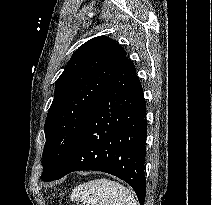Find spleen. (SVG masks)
<instances>
[{"label": "spleen", "mask_w": 212, "mask_h": 205, "mask_svg": "<svg viewBox=\"0 0 212 205\" xmlns=\"http://www.w3.org/2000/svg\"><path fill=\"white\" fill-rule=\"evenodd\" d=\"M71 200L86 205H138L133 193L119 182L102 178L75 187Z\"/></svg>", "instance_id": "spleen-1"}]
</instances>
